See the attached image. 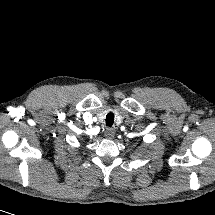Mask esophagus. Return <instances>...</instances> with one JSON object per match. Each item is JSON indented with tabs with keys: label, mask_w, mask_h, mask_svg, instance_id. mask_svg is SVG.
Wrapping results in <instances>:
<instances>
[{
	"label": "esophagus",
	"mask_w": 215,
	"mask_h": 215,
	"mask_svg": "<svg viewBox=\"0 0 215 215\" xmlns=\"http://www.w3.org/2000/svg\"><path fill=\"white\" fill-rule=\"evenodd\" d=\"M115 135V131L112 128H107L104 132V136L108 139H112Z\"/></svg>",
	"instance_id": "esophagus-1"
}]
</instances>
